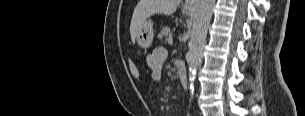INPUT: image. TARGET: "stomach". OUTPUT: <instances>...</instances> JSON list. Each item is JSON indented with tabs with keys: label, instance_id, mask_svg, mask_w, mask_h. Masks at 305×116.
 Returning <instances> with one entry per match:
<instances>
[{
	"label": "stomach",
	"instance_id": "obj_1",
	"mask_svg": "<svg viewBox=\"0 0 305 116\" xmlns=\"http://www.w3.org/2000/svg\"><path fill=\"white\" fill-rule=\"evenodd\" d=\"M184 14H191L192 10L183 9ZM154 37L153 22L151 20L145 21L137 35V42L140 47L147 49L151 46Z\"/></svg>",
	"mask_w": 305,
	"mask_h": 116
}]
</instances>
